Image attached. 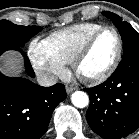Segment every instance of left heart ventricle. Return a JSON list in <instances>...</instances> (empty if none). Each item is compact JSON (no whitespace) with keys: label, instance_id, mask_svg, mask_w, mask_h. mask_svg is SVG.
Listing matches in <instances>:
<instances>
[{"label":"left heart ventricle","instance_id":"1","mask_svg":"<svg viewBox=\"0 0 139 139\" xmlns=\"http://www.w3.org/2000/svg\"><path fill=\"white\" fill-rule=\"evenodd\" d=\"M117 50V39L112 31L101 34L82 60L79 71L87 77L103 73L111 64Z\"/></svg>","mask_w":139,"mask_h":139}]
</instances>
